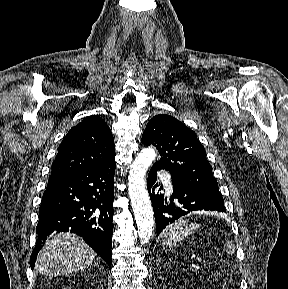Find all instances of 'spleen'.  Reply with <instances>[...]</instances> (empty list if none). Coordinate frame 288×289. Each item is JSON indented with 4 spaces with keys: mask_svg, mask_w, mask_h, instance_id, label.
Segmentation results:
<instances>
[{
    "mask_svg": "<svg viewBox=\"0 0 288 289\" xmlns=\"http://www.w3.org/2000/svg\"><path fill=\"white\" fill-rule=\"evenodd\" d=\"M199 224L189 223L188 220L182 218L169 225L161 234V242L164 246H175L179 241L187 238L197 229Z\"/></svg>",
    "mask_w": 288,
    "mask_h": 289,
    "instance_id": "obj_1",
    "label": "spleen"
}]
</instances>
